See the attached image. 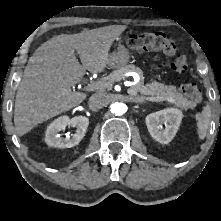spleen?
<instances>
[{
	"label": "spleen",
	"instance_id": "3e777b00",
	"mask_svg": "<svg viewBox=\"0 0 221 221\" xmlns=\"http://www.w3.org/2000/svg\"><path fill=\"white\" fill-rule=\"evenodd\" d=\"M210 116H211V110L208 103L203 107L202 112L197 113L195 116L197 122V133L200 140L205 138V135L207 133L210 124Z\"/></svg>",
	"mask_w": 221,
	"mask_h": 221
}]
</instances>
